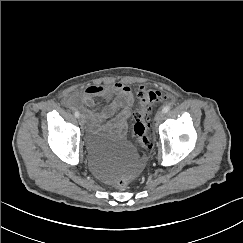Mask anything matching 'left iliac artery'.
Wrapping results in <instances>:
<instances>
[{
	"mask_svg": "<svg viewBox=\"0 0 243 243\" xmlns=\"http://www.w3.org/2000/svg\"><path fill=\"white\" fill-rule=\"evenodd\" d=\"M169 110H170V106L166 105L165 107H163L162 112L165 114V113L169 112Z\"/></svg>",
	"mask_w": 243,
	"mask_h": 243,
	"instance_id": "left-iliac-artery-1",
	"label": "left iliac artery"
}]
</instances>
